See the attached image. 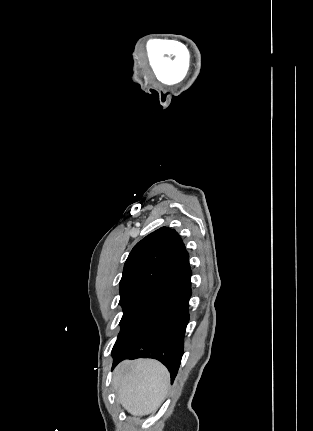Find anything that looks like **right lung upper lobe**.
<instances>
[{
  "label": "right lung upper lobe",
  "mask_w": 313,
  "mask_h": 431,
  "mask_svg": "<svg viewBox=\"0 0 313 431\" xmlns=\"http://www.w3.org/2000/svg\"><path fill=\"white\" fill-rule=\"evenodd\" d=\"M189 259L175 230L162 227L138 242L130 252L120 281V295H151Z\"/></svg>",
  "instance_id": "cb5924a9"
}]
</instances>
